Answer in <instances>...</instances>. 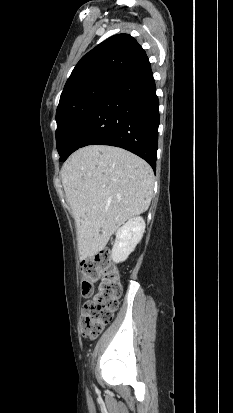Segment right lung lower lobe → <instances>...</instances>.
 Returning <instances> with one entry per match:
<instances>
[{
	"instance_id": "right-lung-lower-lobe-1",
	"label": "right lung lower lobe",
	"mask_w": 233,
	"mask_h": 413,
	"mask_svg": "<svg viewBox=\"0 0 233 413\" xmlns=\"http://www.w3.org/2000/svg\"><path fill=\"white\" fill-rule=\"evenodd\" d=\"M159 101L146 57L116 78L78 132L70 150L91 144L124 148L156 170Z\"/></svg>"
}]
</instances>
